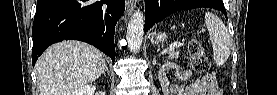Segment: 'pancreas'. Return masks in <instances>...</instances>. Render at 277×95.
I'll list each match as a JSON object with an SVG mask.
<instances>
[{
	"mask_svg": "<svg viewBox=\"0 0 277 95\" xmlns=\"http://www.w3.org/2000/svg\"><path fill=\"white\" fill-rule=\"evenodd\" d=\"M179 57V51L172 50L168 54V58L177 59Z\"/></svg>",
	"mask_w": 277,
	"mask_h": 95,
	"instance_id": "cf45deb5",
	"label": "pancreas"
}]
</instances>
